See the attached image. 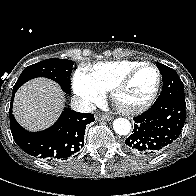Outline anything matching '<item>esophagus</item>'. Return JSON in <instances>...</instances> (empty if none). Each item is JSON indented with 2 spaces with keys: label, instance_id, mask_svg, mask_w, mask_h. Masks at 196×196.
Returning a JSON list of instances; mask_svg holds the SVG:
<instances>
[{
  "label": "esophagus",
  "instance_id": "1",
  "mask_svg": "<svg viewBox=\"0 0 196 196\" xmlns=\"http://www.w3.org/2000/svg\"><path fill=\"white\" fill-rule=\"evenodd\" d=\"M96 119H99V120H106V121H109L112 119V116L110 115H97L96 116Z\"/></svg>",
  "mask_w": 196,
  "mask_h": 196
}]
</instances>
